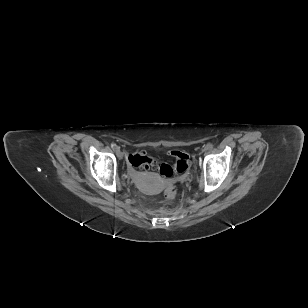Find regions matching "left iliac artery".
<instances>
[{
  "instance_id": "1",
  "label": "left iliac artery",
  "mask_w": 308,
  "mask_h": 308,
  "mask_svg": "<svg viewBox=\"0 0 308 308\" xmlns=\"http://www.w3.org/2000/svg\"><path fill=\"white\" fill-rule=\"evenodd\" d=\"M206 148H207L208 150L212 149V148H213V144H212V143H208V144L206 145Z\"/></svg>"
}]
</instances>
